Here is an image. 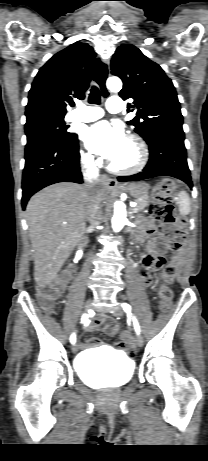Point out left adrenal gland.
<instances>
[{
    "instance_id": "1",
    "label": "left adrenal gland",
    "mask_w": 208,
    "mask_h": 461,
    "mask_svg": "<svg viewBox=\"0 0 208 461\" xmlns=\"http://www.w3.org/2000/svg\"><path fill=\"white\" fill-rule=\"evenodd\" d=\"M130 216H131V218H133V216H132V212H130Z\"/></svg>"
}]
</instances>
